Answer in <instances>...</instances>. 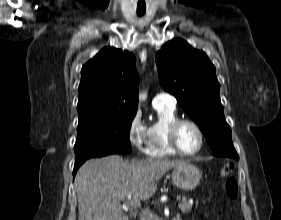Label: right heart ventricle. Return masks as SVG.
<instances>
[{
  "mask_svg": "<svg viewBox=\"0 0 281 220\" xmlns=\"http://www.w3.org/2000/svg\"><path fill=\"white\" fill-rule=\"evenodd\" d=\"M158 119L147 128L143 152L149 157L174 156L177 153L169 145L167 132L169 125L178 118L175 107L154 106Z\"/></svg>",
  "mask_w": 281,
  "mask_h": 220,
  "instance_id": "obj_1",
  "label": "right heart ventricle"
}]
</instances>
